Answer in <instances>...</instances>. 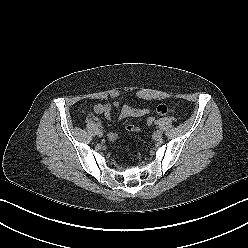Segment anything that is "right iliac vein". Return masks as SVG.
I'll return each mask as SVG.
<instances>
[{
	"mask_svg": "<svg viewBox=\"0 0 248 248\" xmlns=\"http://www.w3.org/2000/svg\"><path fill=\"white\" fill-rule=\"evenodd\" d=\"M97 135H98L99 137H102V136H103V131H102L101 129H99V130L97 131Z\"/></svg>",
	"mask_w": 248,
	"mask_h": 248,
	"instance_id": "obj_1",
	"label": "right iliac vein"
}]
</instances>
